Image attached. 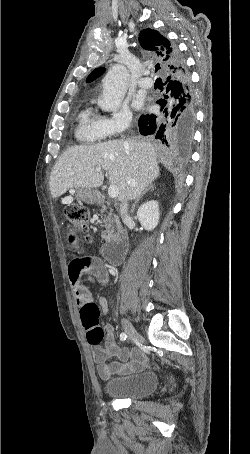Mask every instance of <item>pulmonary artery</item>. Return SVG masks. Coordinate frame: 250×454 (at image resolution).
Masks as SVG:
<instances>
[{
	"instance_id": "obj_1",
	"label": "pulmonary artery",
	"mask_w": 250,
	"mask_h": 454,
	"mask_svg": "<svg viewBox=\"0 0 250 454\" xmlns=\"http://www.w3.org/2000/svg\"><path fill=\"white\" fill-rule=\"evenodd\" d=\"M154 81L150 77H143L139 80L138 85L140 88H149L153 85Z\"/></svg>"
}]
</instances>
